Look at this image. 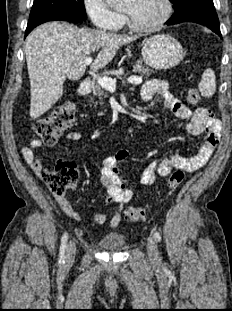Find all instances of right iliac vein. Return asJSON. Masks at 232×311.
<instances>
[{
  "mask_svg": "<svg viewBox=\"0 0 232 311\" xmlns=\"http://www.w3.org/2000/svg\"><path fill=\"white\" fill-rule=\"evenodd\" d=\"M75 253H76V246H75V243L71 241L67 245V249H66V258H65L66 265H69L74 261Z\"/></svg>",
  "mask_w": 232,
  "mask_h": 311,
  "instance_id": "63e3f726",
  "label": "right iliac vein"
}]
</instances>
